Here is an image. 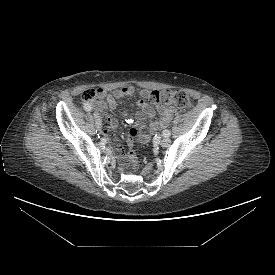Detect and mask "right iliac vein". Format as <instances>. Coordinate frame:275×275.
I'll use <instances>...</instances> for the list:
<instances>
[{"instance_id": "obj_1", "label": "right iliac vein", "mask_w": 275, "mask_h": 275, "mask_svg": "<svg viewBox=\"0 0 275 275\" xmlns=\"http://www.w3.org/2000/svg\"><path fill=\"white\" fill-rule=\"evenodd\" d=\"M94 118H95V124L97 129L100 131L101 130V117L97 112L94 113Z\"/></svg>"}]
</instances>
